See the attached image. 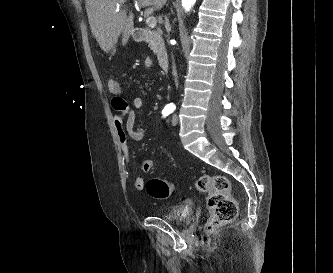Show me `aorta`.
Here are the masks:
<instances>
[{
    "mask_svg": "<svg viewBox=\"0 0 333 273\" xmlns=\"http://www.w3.org/2000/svg\"><path fill=\"white\" fill-rule=\"evenodd\" d=\"M196 0H182V6L185 11H189L195 4Z\"/></svg>",
    "mask_w": 333,
    "mask_h": 273,
    "instance_id": "aorta-1",
    "label": "aorta"
}]
</instances>
